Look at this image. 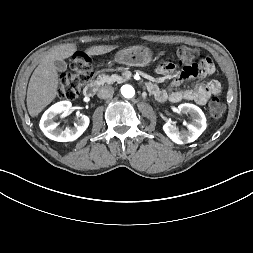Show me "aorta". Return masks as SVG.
<instances>
[{
  "label": "aorta",
  "instance_id": "1",
  "mask_svg": "<svg viewBox=\"0 0 253 253\" xmlns=\"http://www.w3.org/2000/svg\"><path fill=\"white\" fill-rule=\"evenodd\" d=\"M121 94L125 98H132L135 95V90L131 85H123L121 87Z\"/></svg>",
  "mask_w": 253,
  "mask_h": 253
}]
</instances>
